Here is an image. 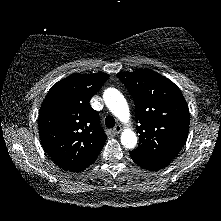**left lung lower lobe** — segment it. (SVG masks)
I'll return each instance as SVG.
<instances>
[{
    "label": "left lung lower lobe",
    "mask_w": 221,
    "mask_h": 221,
    "mask_svg": "<svg viewBox=\"0 0 221 221\" xmlns=\"http://www.w3.org/2000/svg\"><path fill=\"white\" fill-rule=\"evenodd\" d=\"M130 156L136 164H138L142 168H145L147 170H152V171L160 170V169L168 166L169 163H170V162H165V161L148 160V159H145V158L135 156L131 153H130Z\"/></svg>",
    "instance_id": "obj_1"
}]
</instances>
